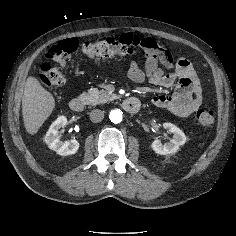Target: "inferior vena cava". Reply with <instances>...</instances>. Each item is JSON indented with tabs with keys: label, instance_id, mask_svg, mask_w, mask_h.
Masks as SVG:
<instances>
[{
	"label": "inferior vena cava",
	"instance_id": "1",
	"mask_svg": "<svg viewBox=\"0 0 236 236\" xmlns=\"http://www.w3.org/2000/svg\"><path fill=\"white\" fill-rule=\"evenodd\" d=\"M104 119V112L99 109H94L90 112V120L94 123L101 122Z\"/></svg>",
	"mask_w": 236,
	"mask_h": 236
}]
</instances>
